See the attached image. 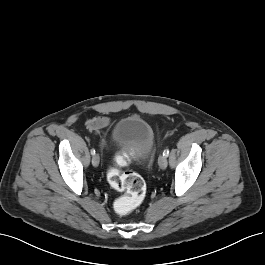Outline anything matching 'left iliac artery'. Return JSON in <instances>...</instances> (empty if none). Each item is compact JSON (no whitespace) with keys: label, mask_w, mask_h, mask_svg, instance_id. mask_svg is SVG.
<instances>
[{"label":"left iliac artery","mask_w":265,"mask_h":265,"mask_svg":"<svg viewBox=\"0 0 265 265\" xmlns=\"http://www.w3.org/2000/svg\"><path fill=\"white\" fill-rule=\"evenodd\" d=\"M168 155H169V150L168 149L164 150L163 156L168 157Z\"/></svg>","instance_id":"44dca946"}]
</instances>
